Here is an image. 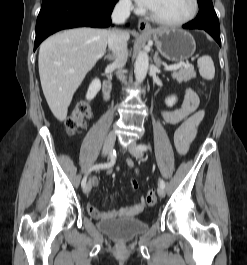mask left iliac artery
<instances>
[{
    "instance_id": "left-iliac-artery-1",
    "label": "left iliac artery",
    "mask_w": 247,
    "mask_h": 265,
    "mask_svg": "<svg viewBox=\"0 0 247 265\" xmlns=\"http://www.w3.org/2000/svg\"><path fill=\"white\" fill-rule=\"evenodd\" d=\"M138 148H139L140 150H142V151H146V150L149 149V147H148L146 144H140V145L138 146ZM159 183H160V186H161L162 188H165V182H164L162 179L159 180Z\"/></svg>"
}]
</instances>
